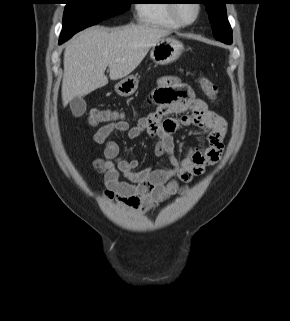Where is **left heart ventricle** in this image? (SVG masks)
<instances>
[{"instance_id": "left-heart-ventricle-1", "label": "left heart ventricle", "mask_w": 290, "mask_h": 321, "mask_svg": "<svg viewBox=\"0 0 290 321\" xmlns=\"http://www.w3.org/2000/svg\"><path fill=\"white\" fill-rule=\"evenodd\" d=\"M178 13L186 21L193 20L196 15L195 4L191 2L180 3Z\"/></svg>"}]
</instances>
